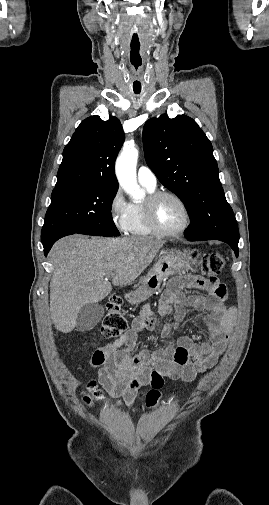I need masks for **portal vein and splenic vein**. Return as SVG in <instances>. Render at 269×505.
<instances>
[{
	"label": "portal vein and splenic vein",
	"mask_w": 269,
	"mask_h": 505,
	"mask_svg": "<svg viewBox=\"0 0 269 505\" xmlns=\"http://www.w3.org/2000/svg\"><path fill=\"white\" fill-rule=\"evenodd\" d=\"M110 277H111V276H109V275H108V276L106 277V279H107V278H110Z\"/></svg>",
	"instance_id": "obj_1"
}]
</instances>
